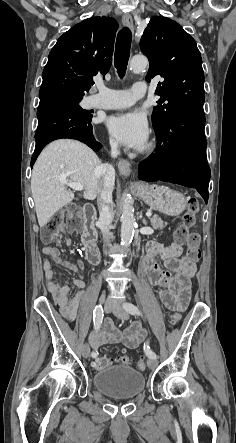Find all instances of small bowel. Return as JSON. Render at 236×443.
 <instances>
[{
    "label": "small bowel",
    "instance_id": "1",
    "mask_svg": "<svg viewBox=\"0 0 236 443\" xmlns=\"http://www.w3.org/2000/svg\"><path fill=\"white\" fill-rule=\"evenodd\" d=\"M65 244L70 246L72 242L66 238ZM43 253L45 255L43 269L46 287L55 303L60 307L62 314L69 320H73L80 302L85 296L83 263L80 259L77 262L63 259L57 247H44ZM158 260H161L163 265ZM53 263L78 274L72 283L80 291L73 297H69L70 287L68 285L61 286L54 281ZM195 272V263L183 255L180 245L164 246L156 242L148 244L147 256L144 260V274L150 284L159 287L157 294L168 309L184 311L187 308L191 298V279ZM144 338L145 332L139 323L134 324L127 332L121 333L114 329L111 319L106 318L99 329L91 334L90 345L93 349H98L107 343L122 342L128 348L134 349Z\"/></svg>",
    "mask_w": 236,
    "mask_h": 443
}]
</instances>
